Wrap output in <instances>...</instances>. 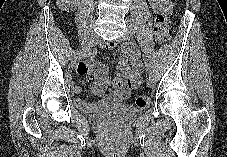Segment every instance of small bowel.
Segmentation results:
<instances>
[{"label": "small bowel", "mask_w": 227, "mask_h": 157, "mask_svg": "<svg viewBox=\"0 0 227 157\" xmlns=\"http://www.w3.org/2000/svg\"><path fill=\"white\" fill-rule=\"evenodd\" d=\"M149 3L156 13L165 16L171 14L173 5L171 0H149ZM114 43H109L108 48H112ZM143 65L139 58V53L133 44H128L122 48L117 66L118 77L110 78L107 75L106 66L90 58L86 62L77 65L76 72L87 77L88 82L95 95L100 97L98 102L88 103L80 98H75L76 106L85 112H94L106 106L109 102H120L126 100L132 89L140 83V75ZM108 89H112L110 93ZM71 91L74 95L81 92L78 85L72 84Z\"/></svg>", "instance_id": "obj_1"}]
</instances>
